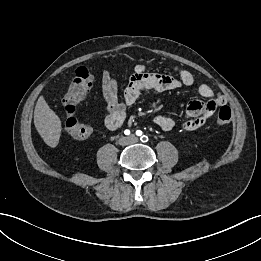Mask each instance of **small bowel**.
<instances>
[{
	"instance_id": "c3829d8e",
	"label": "small bowel",
	"mask_w": 261,
	"mask_h": 261,
	"mask_svg": "<svg viewBox=\"0 0 261 261\" xmlns=\"http://www.w3.org/2000/svg\"><path fill=\"white\" fill-rule=\"evenodd\" d=\"M172 70L175 75L148 72L144 64H137L134 67V74L123 91V101L118 97L116 79L109 71H105L102 75V91L106 102V126L110 130L119 129L125 120L126 107L134 104L143 93L194 86L195 79L189 71L178 66H173ZM198 93L203 100L196 99L187 105V119L181 125L186 131H194L202 127L218 107L226 104L225 96L215 94L207 84H200ZM85 94L86 92H81L78 99L84 98ZM154 123L164 131L172 130L177 126L176 120L167 115L155 116Z\"/></svg>"
}]
</instances>
